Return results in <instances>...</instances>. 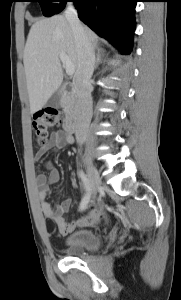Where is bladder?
Listing matches in <instances>:
<instances>
[{"instance_id": "31cf9c89", "label": "bladder", "mask_w": 181, "mask_h": 300, "mask_svg": "<svg viewBox=\"0 0 181 300\" xmlns=\"http://www.w3.org/2000/svg\"><path fill=\"white\" fill-rule=\"evenodd\" d=\"M65 245L71 254H81L84 251L97 250L101 245V239L93 230L80 229L67 236Z\"/></svg>"}]
</instances>
